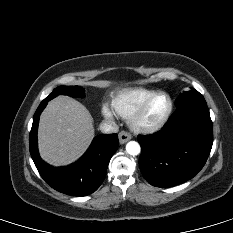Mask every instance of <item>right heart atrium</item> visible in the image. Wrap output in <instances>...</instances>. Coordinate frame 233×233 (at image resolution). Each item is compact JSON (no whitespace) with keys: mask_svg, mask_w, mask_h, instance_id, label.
<instances>
[{"mask_svg":"<svg viewBox=\"0 0 233 233\" xmlns=\"http://www.w3.org/2000/svg\"><path fill=\"white\" fill-rule=\"evenodd\" d=\"M102 113H103V115H104L106 118L111 119V118L113 117L112 112H111V111L109 110V108L106 107V106H104V107L102 108Z\"/></svg>","mask_w":233,"mask_h":233,"instance_id":"d8ad5b80","label":"right heart atrium"}]
</instances>
